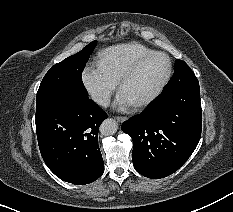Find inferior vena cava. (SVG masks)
<instances>
[{
	"mask_svg": "<svg viewBox=\"0 0 233 212\" xmlns=\"http://www.w3.org/2000/svg\"><path fill=\"white\" fill-rule=\"evenodd\" d=\"M92 98L95 102L102 106H108L110 104V96L108 93L100 92L92 95Z\"/></svg>",
	"mask_w": 233,
	"mask_h": 212,
	"instance_id": "1",
	"label": "inferior vena cava"
}]
</instances>
